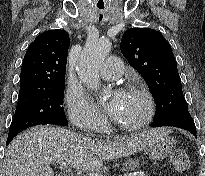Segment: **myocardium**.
<instances>
[{
    "label": "myocardium",
    "mask_w": 205,
    "mask_h": 176,
    "mask_svg": "<svg viewBox=\"0 0 205 176\" xmlns=\"http://www.w3.org/2000/svg\"><path fill=\"white\" fill-rule=\"evenodd\" d=\"M132 92L137 93L144 98L147 105V111L141 121L132 125L121 123L115 119V125L124 131H136L146 127L151 122L155 114V101L148 89L143 86H135L132 88Z\"/></svg>",
    "instance_id": "obj_1"
}]
</instances>
